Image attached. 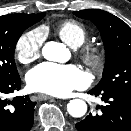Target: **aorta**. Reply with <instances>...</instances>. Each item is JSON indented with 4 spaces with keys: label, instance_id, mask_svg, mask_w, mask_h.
<instances>
[{
    "label": "aorta",
    "instance_id": "obj_1",
    "mask_svg": "<svg viewBox=\"0 0 131 131\" xmlns=\"http://www.w3.org/2000/svg\"><path fill=\"white\" fill-rule=\"evenodd\" d=\"M66 53L64 45L57 42H48L42 49L44 58L50 61H60ZM68 113L75 118L83 117L87 111V104L81 99L70 100L67 104Z\"/></svg>",
    "mask_w": 131,
    "mask_h": 131
}]
</instances>
